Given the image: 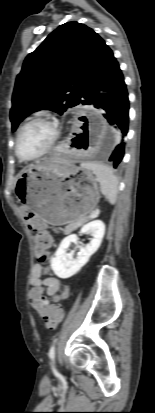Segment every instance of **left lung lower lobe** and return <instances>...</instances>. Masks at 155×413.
Returning <instances> with one entry per match:
<instances>
[{
  "label": "left lung lower lobe",
  "instance_id": "0a47b994",
  "mask_svg": "<svg viewBox=\"0 0 155 413\" xmlns=\"http://www.w3.org/2000/svg\"><path fill=\"white\" fill-rule=\"evenodd\" d=\"M80 103L94 106L111 124L115 122L121 130L122 142L116 146L109 158L114 168H117L125 152L124 138L128 131L129 101L124 77L109 47L89 76Z\"/></svg>",
  "mask_w": 155,
  "mask_h": 413
}]
</instances>
